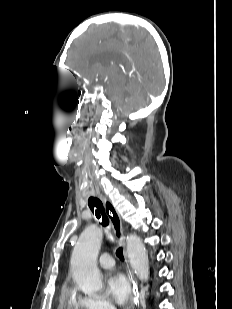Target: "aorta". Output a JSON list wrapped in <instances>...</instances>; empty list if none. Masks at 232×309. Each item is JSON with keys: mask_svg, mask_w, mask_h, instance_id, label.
<instances>
[{"mask_svg": "<svg viewBox=\"0 0 232 309\" xmlns=\"http://www.w3.org/2000/svg\"><path fill=\"white\" fill-rule=\"evenodd\" d=\"M102 231L95 225L88 226L80 235L72 257V276L78 287L86 294L93 295L103 286L97 267V258L102 244ZM127 255L130 265L141 281L149 279L148 254L140 237L127 236Z\"/></svg>", "mask_w": 232, "mask_h": 309, "instance_id": "762f6f07", "label": "aorta"}]
</instances>
